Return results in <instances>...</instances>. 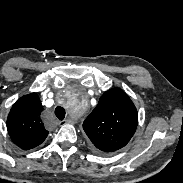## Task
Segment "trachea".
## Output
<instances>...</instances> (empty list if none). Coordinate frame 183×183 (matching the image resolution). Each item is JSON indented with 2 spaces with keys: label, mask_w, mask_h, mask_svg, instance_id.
Returning a JSON list of instances; mask_svg holds the SVG:
<instances>
[{
  "label": "trachea",
  "mask_w": 183,
  "mask_h": 183,
  "mask_svg": "<svg viewBox=\"0 0 183 183\" xmlns=\"http://www.w3.org/2000/svg\"><path fill=\"white\" fill-rule=\"evenodd\" d=\"M55 115L58 119L63 120L65 118V110L64 108L58 106L55 108Z\"/></svg>",
  "instance_id": "obj_1"
}]
</instances>
